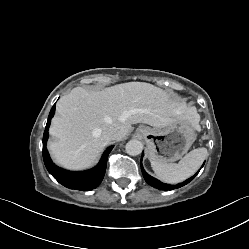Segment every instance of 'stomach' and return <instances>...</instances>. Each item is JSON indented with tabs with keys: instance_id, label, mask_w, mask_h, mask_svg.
I'll return each instance as SVG.
<instances>
[{
	"instance_id": "stomach-1",
	"label": "stomach",
	"mask_w": 249,
	"mask_h": 249,
	"mask_svg": "<svg viewBox=\"0 0 249 249\" xmlns=\"http://www.w3.org/2000/svg\"><path fill=\"white\" fill-rule=\"evenodd\" d=\"M137 134L146 141L150 161L171 163L181 159L195 141V118L184 115L163 129L140 126Z\"/></svg>"
}]
</instances>
